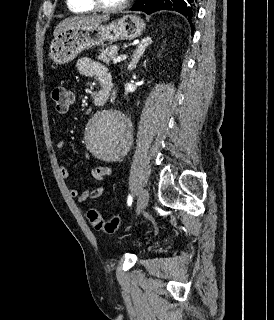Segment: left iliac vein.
Masks as SVG:
<instances>
[{"label": "left iliac vein", "mask_w": 274, "mask_h": 320, "mask_svg": "<svg viewBox=\"0 0 274 320\" xmlns=\"http://www.w3.org/2000/svg\"><path fill=\"white\" fill-rule=\"evenodd\" d=\"M149 202V193L146 189L141 190L137 202V214H139Z\"/></svg>", "instance_id": "1"}]
</instances>
